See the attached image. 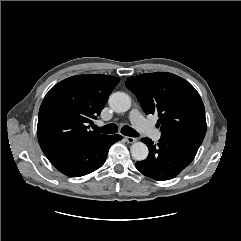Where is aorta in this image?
Segmentation results:
<instances>
[{"label":"aorta","mask_w":241,"mask_h":241,"mask_svg":"<svg viewBox=\"0 0 241 241\" xmlns=\"http://www.w3.org/2000/svg\"><path fill=\"white\" fill-rule=\"evenodd\" d=\"M111 109L117 113H123L130 109L131 99L124 92L113 93L108 100ZM149 150L143 142L133 143L131 146V155L137 161L145 160L148 156Z\"/></svg>","instance_id":"obj_1"}]
</instances>
